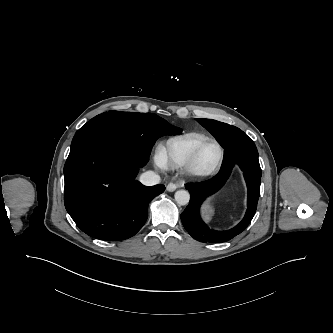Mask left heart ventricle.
<instances>
[{"label": "left heart ventricle", "instance_id": "b2bd125f", "mask_svg": "<svg viewBox=\"0 0 333 333\" xmlns=\"http://www.w3.org/2000/svg\"><path fill=\"white\" fill-rule=\"evenodd\" d=\"M219 150L215 144L207 145L201 152L198 159V168L205 170L210 168L218 159Z\"/></svg>", "mask_w": 333, "mask_h": 333}]
</instances>
